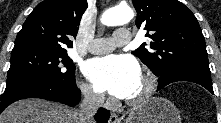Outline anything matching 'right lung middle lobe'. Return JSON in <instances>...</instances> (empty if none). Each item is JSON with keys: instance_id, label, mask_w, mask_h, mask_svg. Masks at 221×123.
<instances>
[{"instance_id": "dd1d6c3e", "label": "right lung middle lobe", "mask_w": 221, "mask_h": 123, "mask_svg": "<svg viewBox=\"0 0 221 123\" xmlns=\"http://www.w3.org/2000/svg\"><path fill=\"white\" fill-rule=\"evenodd\" d=\"M34 79L43 84L73 82L75 65L66 50L30 48L12 51L7 85Z\"/></svg>"}]
</instances>
